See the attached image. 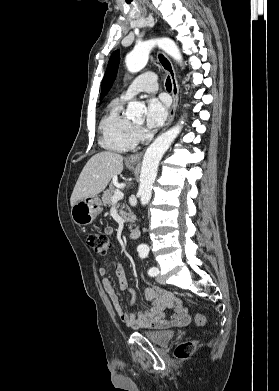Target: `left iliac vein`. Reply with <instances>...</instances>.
Here are the masks:
<instances>
[{
  "label": "left iliac vein",
  "mask_w": 279,
  "mask_h": 391,
  "mask_svg": "<svg viewBox=\"0 0 279 391\" xmlns=\"http://www.w3.org/2000/svg\"><path fill=\"white\" fill-rule=\"evenodd\" d=\"M156 281L158 283H160V284H164L165 283V280H164V278L161 275H157Z\"/></svg>",
  "instance_id": "left-iliac-vein-1"
}]
</instances>
